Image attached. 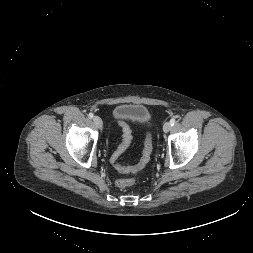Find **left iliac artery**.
Returning a JSON list of instances; mask_svg holds the SVG:
<instances>
[{"label":"left iliac artery","instance_id":"44dca946","mask_svg":"<svg viewBox=\"0 0 253 253\" xmlns=\"http://www.w3.org/2000/svg\"><path fill=\"white\" fill-rule=\"evenodd\" d=\"M170 123H171V126H173V125L175 124V119L172 118V119L170 120Z\"/></svg>","mask_w":253,"mask_h":253}]
</instances>
